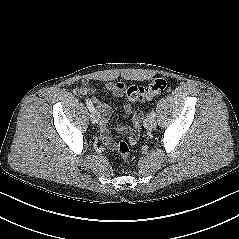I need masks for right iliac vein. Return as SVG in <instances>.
Returning a JSON list of instances; mask_svg holds the SVG:
<instances>
[{"label": "right iliac vein", "instance_id": "obj_1", "mask_svg": "<svg viewBox=\"0 0 239 239\" xmlns=\"http://www.w3.org/2000/svg\"><path fill=\"white\" fill-rule=\"evenodd\" d=\"M90 118L93 124H98L101 118L100 112L98 110H92L90 114Z\"/></svg>", "mask_w": 239, "mask_h": 239}]
</instances>
